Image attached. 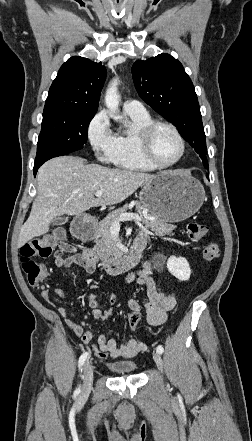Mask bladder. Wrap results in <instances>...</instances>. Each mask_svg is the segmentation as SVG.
Returning a JSON list of instances; mask_svg holds the SVG:
<instances>
[{
  "label": "bladder",
  "mask_w": 252,
  "mask_h": 441,
  "mask_svg": "<svg viewBox=\"0 0 252 441\" xmlns=\"http://www.w3.org/2000/svg\"><path fill=\"white\" fill-rule=\"evenodd\" d=\"M107 368L116 375H128L137 369V364L135 362L111 363Z\"/></svg>",
  "instance_id": "bladder-1"
}]
</instances>
